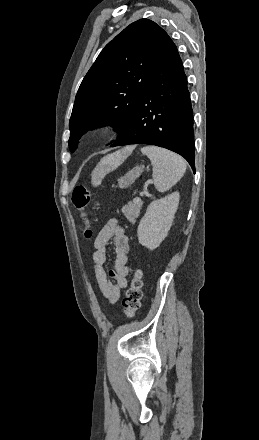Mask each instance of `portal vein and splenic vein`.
I'll return each mask as SVG.
<instances>
[{"label": "portal vein and splenic vein", "mask_w": 259, "mask_h": 440, "mask_svg": "<svg viewBox=\"0 0 259 440\" xmlns=\"http://www.w3.org/2000/svg\"><path fill=\"white\" fill-rule=\"evenodd\" d=\"M140 196H141V197L144 196V192H140ZM133 201H134V202H139V201H141V199H140L139 197H137V198H135Z\"/></svg>", "instance_id": "obj_1"}]
</instances>
